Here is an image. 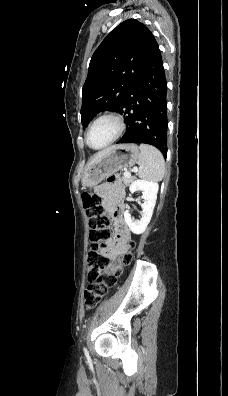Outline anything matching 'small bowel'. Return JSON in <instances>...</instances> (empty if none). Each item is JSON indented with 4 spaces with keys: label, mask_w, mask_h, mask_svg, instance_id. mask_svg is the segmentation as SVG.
<instances>
[{
    "label": "small bowel",
    "mask_w": 228,
    "mask_h": 396,
    "mask_svg": "<svg viewBox=\"0 0 228 396\" xmlns=\"http://www.w3.org/2000/svg\"><path fill=\"white\" fill-rule=\"evenodd\" d=\"M96 190L105 200L106 208L113 212L116 236L114 240L106 241V248L103 253L108 258L115 259L118 255L128 250L126 242L129 238V230L123 218L121 207L124 190L119 184L117 177L109 178L107 183L98 185Z\"/></svg>",
    "instance_id": "obj_1"
}]
</instances>
